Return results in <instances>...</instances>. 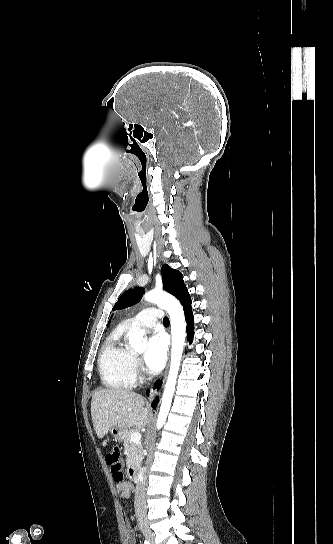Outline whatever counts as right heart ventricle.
<instances>
[{
  "label": "right heart ventricle",
  "mask_w": 333,
  "mask_h": 544,
  "mask_svg": "<svg viewBox=\"0 0 333 544\" xmlns=\"http://www.w3.org/2000/svg\"><path fill=\"white\" fill-rule=\"evenodd\" d=\"M123 327L113 331L101 348L98 367L101 380L110 388H131L135 384L132 350L122 341Z\"/></svg>",
  "instance_id": "1"
}]
</instances>
